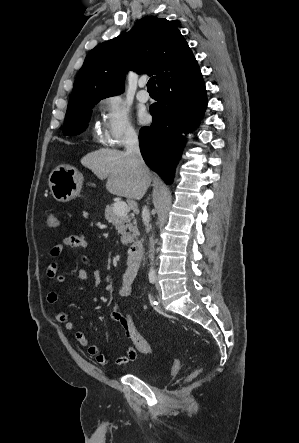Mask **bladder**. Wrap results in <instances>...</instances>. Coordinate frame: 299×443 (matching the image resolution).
<instances>
[{
	"label": "bladder",
	"mask_w": 299,
	"mask_h": 443,
	"mask_svg": "<svg viewBox=\"0 0 299 443\" xmlns=\"http://www.w3.org/2000/svg\"><path fill=\"white\" fill-rule=\"evenodd\" d=\"M131 374L142 379L146 383H149L152 385L159 384L165 378V375H161L159 373H156L155 371H152L151 369L147 368L143 364L136 365L132 369Z\"/></svg>",
	"instance_id": "31cf9c89"
}]
</instances>
